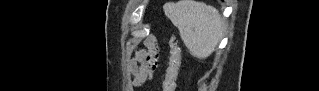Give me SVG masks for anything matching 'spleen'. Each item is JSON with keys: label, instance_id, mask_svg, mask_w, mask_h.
Here are the masks:
<instances>
[{"label": "spleen", "instance_id": "3e777b00", "mask_svg": "<svg viewBox=\"0 0 319 91\" xmlns=\"http://www.w3.org/2000/svg\"><path fill=\"white\" fill-rule=\"evenodd\" d=\"M164 12L194 57L203 60L215 51L225 28L216 8L194 0H180L166 3Z\"/></svg>", "mask_w": 319, "mask_h": 91}]
</instances>
